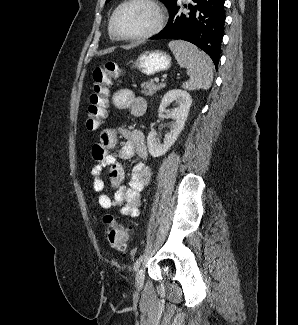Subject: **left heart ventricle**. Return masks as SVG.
Instances as JSON below:
<instances>
[{"label": "left heart ventricle", "instance_id": "1", "mask_svg": "<svg viewBox=\"0 0 298 325\" xmlns=\"http://www.w3.org/2000/svg\"><path fill=\"white\" fill-rule=\"evenodd\" d=\"M154 23L152 12L139 5L122 9L116 18L117 33L126 40L133 39L148 30Z\"/></svg>", "mask_w": 298, "mask_h": 325}]
</instances>
